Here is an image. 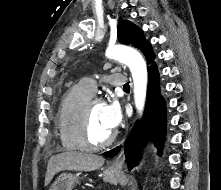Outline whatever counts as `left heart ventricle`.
Masks as SVG:
<instances>
[{"instance_id":"obj_1","label":"left heart ventricle","mask_w":221,"mask_h":190,"mask_svg":"<svg viewBox=\"0 0 221 190\" xmlns=\"http://www.w3.org/2000/svg\"><path fill=\"white\" fill-rule=\"evenodd\" d=\"M113 131L110 130L104 121L103 104H95L90 116V137L93 142L105 140Z\"/></svg>"}]
</instances>
